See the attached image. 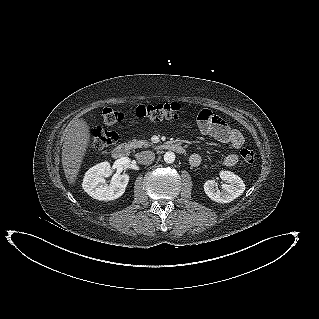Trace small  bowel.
Masks as SVG:
<instances>
[{"label": "small bowel", "instance_id": "1", "mask_svg": "<svg viewBox=\"0 0 319 319\" xmlns=\"http://www.w3.org/2000/svg\"><path fill=\"white\" fill-rule=\"evenodd\" d=\"M204 111L206 113L203 117L198 118V126L204 134L215 138L219 142L230 145L235 150L240 149L244 145L245 139L239 130L230 127L223 119L211 111L203 110V112ZM189 161L192 166L197 167L202 162V156L197 153L192 154ZM238 161V154L230 153L225 156L223 163L227 167H232L236 165Z\"/></svg>", "mask_w": 319, "mask_h": 319}]
</instances>
